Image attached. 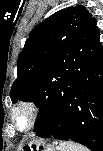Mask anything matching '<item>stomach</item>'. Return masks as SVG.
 I'll list each match as a JSON object with an SVG mask.
<instances>
[{
  "instance_id": "0dacf381",
  "label": "stomach",
  "mask_w": 103,
  "mask_h": 151,
  "mask_svg": "<svg viewBox=\"0 0 103 151\" xmlns=\"http://www.w3.org/2000/svg\"><path fill=\"white\" fill-rule=\"evenodd\" d=\"M28 149L31 151H57L53 143H46L44 140H36L29 144Z\"/></svg>"
}]
</instances>
